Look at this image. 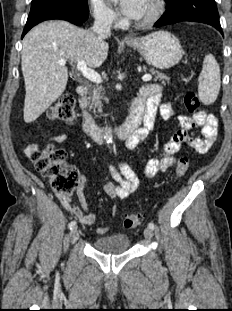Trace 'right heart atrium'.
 <instances>
[{
    "label": "right heart atrium",
    "instance_id": "obj_1",
    "mask_svg": "<svg viewBox=\"0 0 232 311\" xmlns=\"http://www.w3.org/2000/svg\"><path fill=\"white\" fill-rule=\"evenodd\" d=\"M93 16L95 20L103 25L113 26L118 22L116 12L110 8L103 0H90Z\"/></svg>",
    "mask_w": 232,
    "mask_h": 311
}]
</instances>
